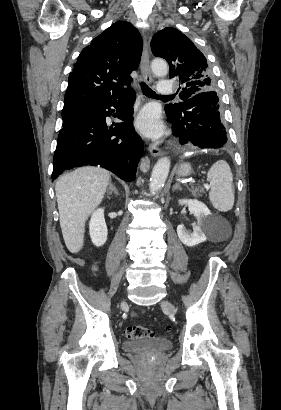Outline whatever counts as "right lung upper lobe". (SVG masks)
<instances>
[{"mask_svg":"<svg viewBox=\"0 0 281 410\" xmlns=\"http://www.w3.org/2000/svg\"><path fill=\"white\" fill-rule=\"evenodd\" d=\"M143 42L137 29L118 21L94 38L78 56L69 74L64 108L94 107L125 94L132 82Z\"/></svg>","mask_w":281,"mask_h":410,"instance_id":"1","label":"right lung upper lobe"}]
</instances>
